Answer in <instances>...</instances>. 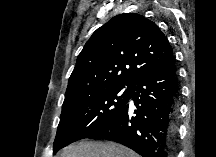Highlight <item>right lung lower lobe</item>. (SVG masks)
Wrapping results in <instances>:
<instances>
[{"instance_id":"1","label":"right lung lower lobe","mask_w":216,"mask_h":157,"mask_svg":"<svg viewBox=\"0 0 216 157\" xmlns=\"http://www.w3.org/2000/svg\"><path fill=\"white\" fill-rule=\"evenodd\" d=\"M179 82L173 53L131 85L126 105L90 139L123 144L142 157H173L177 144Z\"/></svg>"}]
</instances>
